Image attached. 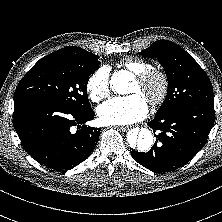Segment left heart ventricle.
Masks as SVG:
<instances>
[{
	"label": "left heart ventricle",
	"mask_w": 222,
	"mask_h": 222,
	"mask_svg": "<svg viewBox=\"0 0 222 222\" xmlns=\"http://www.w3.org/2000/svg\"><path fill=\"white\" fill-rule=\"evenodd\" d=\"M157 88H158L157 82H153L151 85L144 86L141 85L136 80H134L129 89V93L130 94L139 93L148 101L152 97V95L156 92Z\"/></svg>",
	"instance_id": "left-heart-ventricle-1"
}]
</instances>
